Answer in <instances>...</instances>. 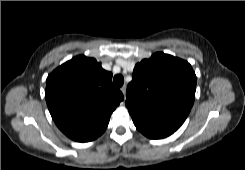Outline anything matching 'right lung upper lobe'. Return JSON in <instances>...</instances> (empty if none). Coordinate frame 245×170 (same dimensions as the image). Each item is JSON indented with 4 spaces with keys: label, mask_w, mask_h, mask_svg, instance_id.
Here are the masks:
<instances>
[{
    "label": "right lung upper lobe",
    "mask_w": 245,
    "mask_h": 170,
    "mask_svg": "<svg viewBox=\"0 0 245 170\" xmlns=\"http://www.w3.org/2000/svg\"><path fill=\"white\" fill-rule=\"evenodd\" d=\"M94 58L80 55L55 69L46 80L45 98L58 128L70 139L89 142L107 128L124 99Z\"/></svg>",
    "instance_id": "obj_1"
}]
</instances>
